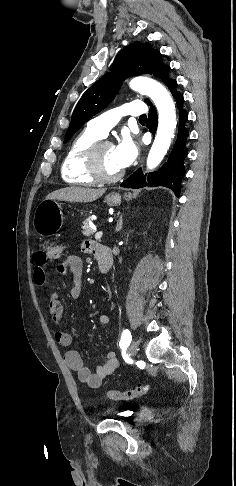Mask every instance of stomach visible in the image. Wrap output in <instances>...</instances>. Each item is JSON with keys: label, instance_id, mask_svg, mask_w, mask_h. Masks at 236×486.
<instances>
[{"label": "stomach", "instance_id": "obj_1", "mask_svg": "<svg viewBox=\"0 0 236 486\" xmlns=\"http://www.w3.org/2000/svg\"><path fill=\"white\" fill-rule=\"evenodd\" d=\"M131 199V193H124L123 196L119 193H111L106 196L105 202L109 206H119L122 200L130 201ZM63 220L61 204L55 200L46 199L37 206L34 212L33 227L38 235L46 237L58 232L63 225Z\"/></svg>", "mask_w": 236, "mask_h": 486}]
</instances>
